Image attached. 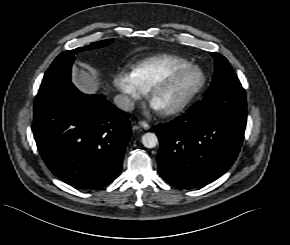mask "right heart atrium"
Segmentation results:
<instances>
[{
  "mask_svg": "<svg viewBox=\"0 0 290 245\" xmlns=\"http://www.w3.org/2000/svg\"><path fill=\"white\" fill-rule=\"evenodd\" d=\"M114 86L121 94L122 105L127 110L132 109L145 94L136 82L132 71L119 70L114 76Z\"/></svg>",
  "mask_w": 290,
  "mask_h": 245,
  "instance_id": "d8ad5b80",
  "label": "right heart atrium"
}]
</instances>
